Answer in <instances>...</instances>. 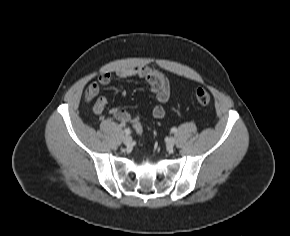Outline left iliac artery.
<instances>
[{"label":"left iliac artery","instance_id":"1","mask_svg":"<svg viewBox=\"0 0 290 236\" xmlns=\"http://www.w3.org/2000/svg\"><path fill=\"white\" fill-rule=\"evenodd\" d=\"M177 131V129L175 128V127H173L172 129H171V132L172 133H175Z\"/></svg>","mask_w":290,"mask_h":236}]
</instances>
